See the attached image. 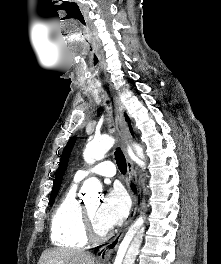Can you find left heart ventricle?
Here are the masks:
<instances>
[{
    "mask_svg": "<svg viewBox=\"0 0 221 264\" xmlns=\"http://www.w3.org/2000/svg\"><path fill=\"white\" fill-rule=\"evenodd\" d=\"M98 206H99V203L97 201L90 202V203H87L85 205L88 213L90 214V216L94 222V225H95V228L97 229V231L105 232L106 229L99 223V221L97 220V217H96V212H97Z\"/></svg>",
    "mask_w": 221,
    "mask_h": 264,
    "instance_id": "1",
    "label": "left heart ventricle"
}]
</instances>
